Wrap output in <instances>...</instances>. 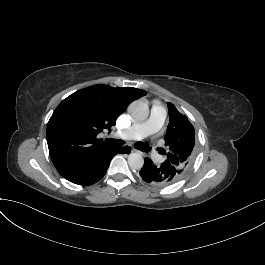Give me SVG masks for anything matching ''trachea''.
Returning a JSON list of instances; mask_svg holds the SVG:
<instances>
[{
	"label": "trachea",
	"instance_id": "1",
	"mask_svg": "<svg viewBox=\"0 0 265 265\" xmlns=\"http://www.w3.org/2000/svg\"><path fill=\"white\" fill-rule=\"evenodd\" d=\"M106 143L113 147H121L123 146L124 142L118 139H107ZM134 147L141 151H147L149 147L143 143H135Z\"/></svg>",
	"mask_w": 265,
	"mask_h": 265
}]
</instances>
